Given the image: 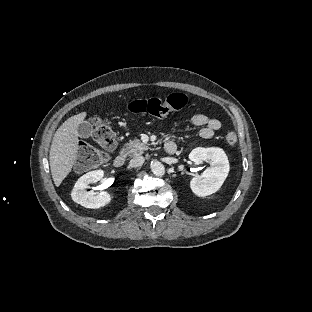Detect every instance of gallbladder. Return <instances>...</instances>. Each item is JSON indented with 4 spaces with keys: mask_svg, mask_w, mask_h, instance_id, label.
Segmentation results:
<instances>
[{
    "mask_svg": "<svg viewBox=\"0 0 312 312\" xmlns=\"http://www.w3.org/2000/svg\"><path fill=\"white\" fill-rule=\"evenodd\" d=\"M92 130V124L87 121L79 124L78 126V133L81 138H89Z\"/></svg>",
    "mask_w": 312,
    "mask_h": 312,
    "instance_id": "1",
    "label": "gallbladder"
}]
</instances>
